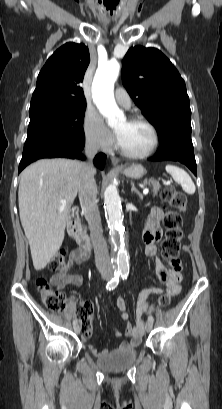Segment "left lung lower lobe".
Instances as JSON below:
<instances>
[{"label":"left lung lower lobe","mask_w":222,"mask_h":409,"mask_svg":"<svg viewBox=\"0 0 222 409\" xmlns=\"http://www.w3.org/2000/svg\"><path fill=\"white\" fill-rule=\"evenodd\" d=\"M152 161H179L185 164L195 175L197 166L193 151L192 140L173 138L162 143Z\"/></svg>","instance_id":"0a47b994"}]
</instances>
